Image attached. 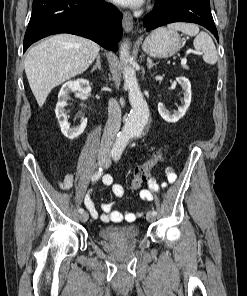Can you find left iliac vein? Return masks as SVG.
Returning a JSON list of instances; mask_svg holds the SVG:
<instances>
[{
	"label": "left iliac vein",
	"mask_w": 247,
	"mask_h": 296,
	"mask_svg": "<svg viewBox=\"0 0 247 296\" xmlns=\"http://www.w3.org/2000/svg\"><path fill=\"white\" fill-rule=\"evenodd\" d=\"M109 166H110V162L108 161V162L105 163V167L107 168ZM146 219H147L148 222H154L155 219H156V215H154L152 212H148L146 214Z\"/></svg>",
	"instance_id": "1"
}]
</instances>
